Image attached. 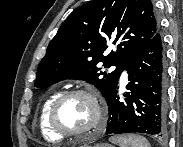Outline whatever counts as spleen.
Segmentation results:
<instances>
[{
  "label": "spleen",
  "mask_w": 183,
  "mask_h": 147,
  "mask_svg": "<svg viewBox=\"0 0 183 147\" xmlns=\"http://www.w3.org/2000/svg\"><path fill=\"white\" fill-rule=\"evenodd\" d=\"M109 141L119 147H150L145 137L135 134L112 136Z\"/></svg>",
  "instance_id": "1"
}]
</instances>
